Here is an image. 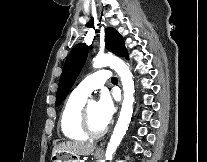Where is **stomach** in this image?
Masks as SVG:
<instances>
[{
	"instance_id": "0dacf381",
	"label": "stomach",
	"mask_w": 207,
	"mask_h": 162,
	"mask_svg": "<svg viewBox=\"0 0 207 162\" xmlns=\"http://www.w3.org/2000/svg\"><path fill=\"white\" fill-rule=\"evenodd\" d=\"M100 153L96 151L94 153L95 157H100ZM51 161L52 162H79V158L77 156H74L70 153L66 152H54L51 155Z\"/></svg>"
}]
</instances>
